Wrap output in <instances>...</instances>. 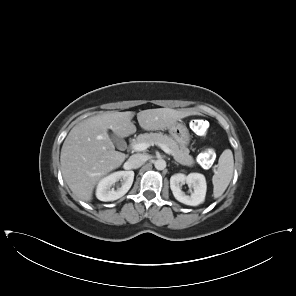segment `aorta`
<instances>
[{"label":"aorta","instance_id":"obj_1","mask_svg":"<svg viewBox=\"0 0 296 296\" xmlns=\"http://www.w3.org/2000/svg\"><path fill=\"white\" fill-rule=\"evenodd\" d=\"M154 166L157 170H164L166 168V161L164 159H157L154 162Z\"/></svg>","mask_w":296,"mask_h":296}]
</instances>
